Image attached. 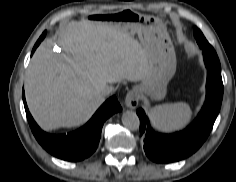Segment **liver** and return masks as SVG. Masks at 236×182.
Masks as SVG:
<instances>
[{"instance_id": "obj_1", "label": "liver", "mask_w": 236, "mask_h": 182, "mask_svg": "<svg viewBox=\"0 0 236 182\" xmlns=\"http://www.w3.org/2000/svg\"><path fill=\"white\" fill-rule=\"evenodd\" d=\"M34 53L26 71L29 110L44 129L75 127L88 121L105 101L104 86L121 80L142 81L149 71V48L112 22H69Z\"/></svg>"}]
</instances>
